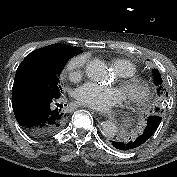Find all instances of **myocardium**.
Instances as JSON below:
<instances>
[{"mask_svg":"<svg viewBox=\"0 0 177 177\" xmlns=\"http://www.w3.org/2000/svg\"><path fill=\"white\" fill-rule=\"evenodd\" d=\"M120 86L124 91L126 100L132 105L145 102L150 95L148 83L140 76L122 77Z\"/></svg>","mask_w":177,"mask_h":177,"instance_id":"myocardium-1","label":"myocardium"}]
</instances>
